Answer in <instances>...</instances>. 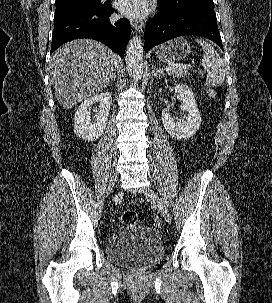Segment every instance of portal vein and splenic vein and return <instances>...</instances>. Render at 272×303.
Returning a JSON list of instances; mask_svg holds the SVG:
<instances>
[{
	"label": "portal vein and splenic vein",
	"mask_w": 272,
	"mask_h": 303,
	"mask_svg": "<svg viewBox=\"0 0 272 303\" xmlns=\"http://www.w3.org/2000/svg\"><path fill=\"white\" fill-rule=\"evenodd\" d=\"M192 67L190 65H186V64H175L169 67H166V71H169L171 69H191Z\"/></svg>",
	"instance_id": "portal-vein-and-splenic-vein-1"
}]
</instances>
